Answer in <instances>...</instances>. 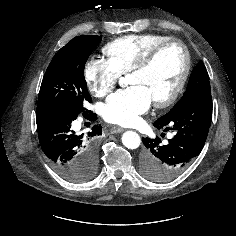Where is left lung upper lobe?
<instances>
[{
  "label": "left lung upper lobe",
  "instance_id": "1",
  "mask_svg": "<svg viewBox=\"0 0 236 236\" xmlns=\"http://www.w3.org/2000/svg\"><path fill=\"white\" fill-rule=\"evenodd\" d=\"M208 93H211L209 76L203 62L200 61L190 75V80L183 97L166 115L160 117L155 123H161L170 119L198 97Z\"/></svg>",
  "mask_w": 236,
  "mask_h": 236
}]
</instances>
